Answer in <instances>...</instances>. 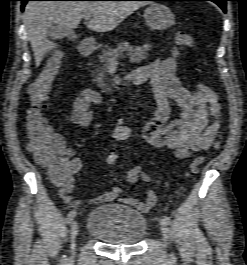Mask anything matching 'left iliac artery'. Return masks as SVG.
Segmentation results:
<instances>
[{
    "label": "left iliac artery",
    "instance_id": "44dca946",
    "mask_svg": "<svg viewBox=\"0 0 247 265\" xmlns=\"http://www.w3.org/2000/svg\"><path fill=\"white\" fill-rule=\"evenodd\" d=\"M162 220H163L164 222H166L167 224H170V223H171L170 218L167 217V216H162Z\"/></svg>",
    "mask_w": 247,
    "mask_h": 265
}]
</instances>
